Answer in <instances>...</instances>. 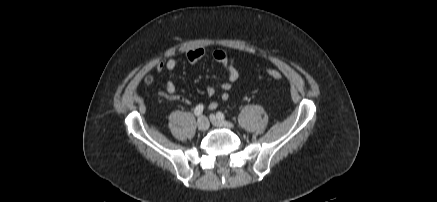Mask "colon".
<instances>
[{"label": "colon", "mask_w": 437, "mask_h": 202, "mask_svg": "<svg viewBox=\"0 0 437 202\" xmlns=\"http://www.w3.org/2000/svg\"><path fill=\"white\" fill-rule=\"evenodd\" d=\"M266 73L270 78L275 79V80H279L282 78L281 72L278 71L277 69H273V68L267 69Z\"/></svg>", "instance_id": "5ec220e1"}]
</instances>
